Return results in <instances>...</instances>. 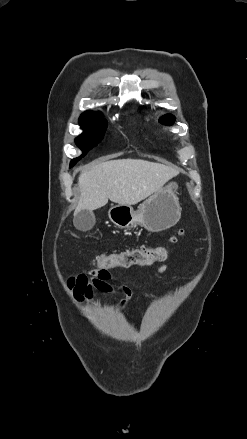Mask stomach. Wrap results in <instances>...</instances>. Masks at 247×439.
I'll use <instances>...</instances> for the list:
<instances>
[{
  "label": "stomach",
  "mask_w": 247,
  "mask_h": 439,
  "mask_svg": "<svg viewBox=\"0 0 247 439\" xmlns=\"http://www.w3.org/2000/svg\"><path fill=\"white\" fill-rule=\"evenodd\" d=\"M178 185L170 182L145 200L138 210L130 205L112 206L109 219L119 228L130 229L137 225L150 232H160L174 226L181 216L177 196Z\"/></svg>",
  "instance_id": "stomach-1"
}]
</instances>
